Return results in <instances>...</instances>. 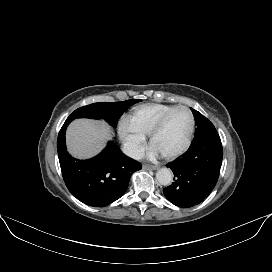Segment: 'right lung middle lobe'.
Segmentation results:
<instances>
[{
    "label": "right lung middle lobe",
    "mask_w": 272,
    "mask_h": 272,
    "mask_svg": "<svg viewBox=\"0 0 272 272\" xmlns=\"http://www.w3.org/2000/svg\"><path fill=\"white\" fill-rule=\"evenodd\" d=\"M139 99H131L123 102L93 103L76 109L68 120L75 118L104 119L111 126L116 127L120 116L133 104L140 102Z\"/></svg>",
    "instance_id": "obj_1"
}]
</instances>
